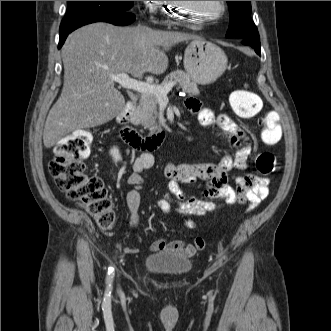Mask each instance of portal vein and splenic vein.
I'll return each instance as SVG.
<instances>
[{"mask_svg":"<svg viewBox=\"0 0 331 331\" xmlns=\"http://www.w3.org/2000/svg\"><path fill=\"white\" fill-rule=\"evenodd\" d=\"M111 79L123 88L137 91L142 94H154L159 99L166 98L168 92L176 85V82L174 81L169 82L165 86L142 82L130 78L127 73L112 75Z\"/></svg>","mask_w":331,"mask_h":331,"instance_id":"obj_1","label":"portal vein and splenic vein"}]
</instances>
